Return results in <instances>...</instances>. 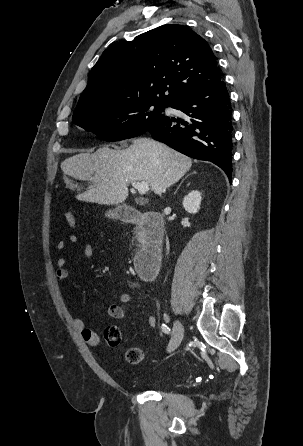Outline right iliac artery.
<instances>
[{
  "instance_id": "obj_1",
  "label": "right iliac artery",
  "mask_w": 303,
  "mask_h": 446,
  "mask_svg": "<svg viewBox=\"0 0 303 446\" xmlns=\"http://www.w3.org/2000/svg\"><path fill=\"white\" fill-rule=\"evenodd\" d=\"M161 329L164 333L170 334V328L166 324H162Z\"/></svg>"
}]
</instances>
